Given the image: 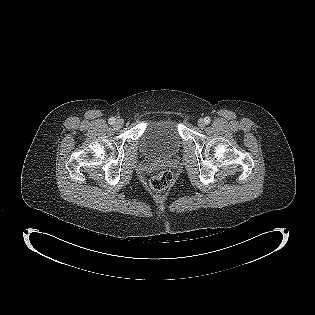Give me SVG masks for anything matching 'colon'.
<instances>
[{
	"mask_svg": "<svg viewBox=\"0 0 315 315\" xmlns=\"http://www.w3.org/2000/svg\"><path fill=\"white\" fill-rule=\"evenodd\" d=\"M174 175L169 170H164L156 173L150 178V186L157 191L167 189L173 182Z\"/></svg>",
	"mask_w": 315,
	"mask_h": 315,
	"instance_id": "1",
	"label": "colon"
}]
</instances>
